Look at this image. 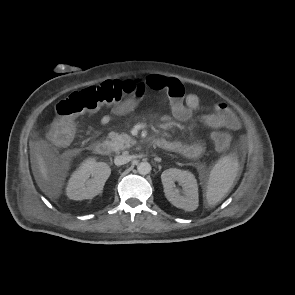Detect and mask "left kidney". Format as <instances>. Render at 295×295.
Returning a JSON list of instances; mask_svg holds the SVG:
<instances>
[{
	"instance_id": "5707ae66",
	"label": "left kidney",
	"mask_w": 295,
	"mask_h": 295,
	"mask_svg": "<svg viewBox=\"0 0 295 295\" xmlns=\"http://www.w3.org/2000/svg\"><path fill=\"white\" fill-rule=\"evenodd\" d=\"M161 181L167 200L177 208L194 211L198 207V185L195 176L189 171L170 168L162 172ZM178 182L183 189V195L175 187Z\"/></svg>"
}]
</instances>
